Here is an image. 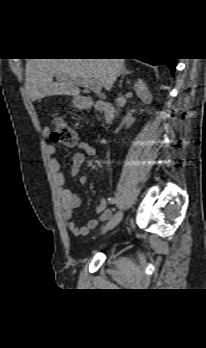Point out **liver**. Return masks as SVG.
<instances>
[{"mask_svg": "<svg viewBox=\"0 0 206 348\" xmlns=\"http://www.w3.org/2000/svg\"><path fill=\"white\" fill-rule=\"evenodd\" d=\"M125 59H29L25 88L32 101L51 95L78 96L77 79H95L107 91L124 68ZM56 77V82L53 78Z\"/></svg>", "mask_w": 206, "mask_h": 348, "instance_id": "1", "label": "liver"}]
</instances>
